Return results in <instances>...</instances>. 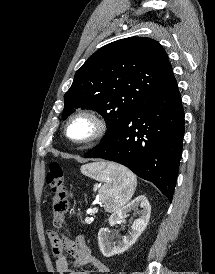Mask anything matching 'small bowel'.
Masks as SVG:
<instances>
[{
	"instance_id": "c3829d8e",
	"label": "small bowel",
	"mask_w": 215,
	"mask_h": 274,
	"mask_svg": "<svg viewBox=\"0 0 215 274\" xmlns=\"http://www.w3.org/2000/svg\"><path fill=\"white\" fill-rule=\"evenodd\" d=\"M49 240L59 274H90L89 270L84 268L88 265L93 266L99 274L109 273L108 266L92 254L83 236L78 235L75 239H71L56 234L55 238L49 237ZM67 255L73 258V263H70Z\"/></svg>"
}]
</instances>
